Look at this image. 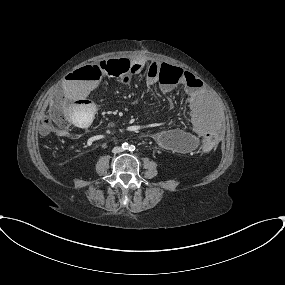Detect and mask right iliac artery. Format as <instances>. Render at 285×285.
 <instances>
[{"instance_id":"obj_1","label":"right iliac artery","mask_w":285,"mask_h":285,"mask_svg":"<svg viewBox=\"0 0 285 285\" xmlns=\"http://www.w3.org/2000/svg\"><path fill=\"white\" fill-rule=\"evenodd\" d=\"M122 148H123V149H128V143H124V144L122 145Z\"/></svg>"}]
</instances>
